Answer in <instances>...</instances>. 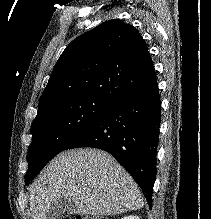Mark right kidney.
Returning a JSON list of instances; mask_svg holds the SVG:
<instances>
[{
    "mask_svg": "<svg viewBox=\"0 0 211 219\" xmlns=\"http://www.w3.org/2000/svg\"><path fill=\"white\" fill-rule=\"evenodd\" d=\"M121 219H140L138 216H134V215H130V216H126L124 218Z\"/></svg>",
    "mask_w": 211,
    "mask_h": 219,
    "instance_id": "obj_1",
    "label": "right kidney"
}]
</instances>
